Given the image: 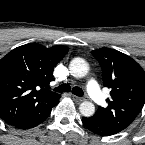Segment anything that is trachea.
<instances>
[{"instance_id":"1","label":"trachea","mask_w":145,"mask_h":145,"mask_svg":"<svg viewBox=\"0 0 145 145\" xmlns=\"http://www.w3.org/2000/svg\"><path fill=\"white\" fill-rule=\"evenodd\" d=\"M70 89L71 88H70V86L68 84H62V85L56 87L54 89V91H56V92H69ZM72 93L75 94L76 96H79V97L84 95L83 90L81 88H79V87H73L72 88Z\"/></svg>"}]
</instances>
